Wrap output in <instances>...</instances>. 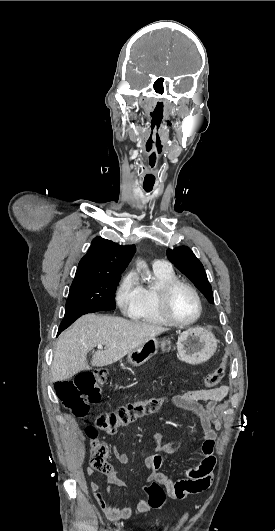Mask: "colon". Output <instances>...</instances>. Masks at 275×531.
Returning a JSON list of instances; mask_svg holds the SVG:
<instances>
[{"label": "colon", "mask_w": 275, "mask_h": 531, "mask_svg": "<svg viewBox=\"0 0 275 531\" xmlns=\"http://www.w3.org/2000/svg\"><path fill=\"white\" fill-rule=\"evenodd\" d=\"M231 356L229 351H226L220 359L218 365L214 370L208 373L203 382L206 388L212 389L219 385L222 381L228 358ZM108 378V371L105 369L99 370H84L79 372L73 381L59 380L54 385L55 395L61 400L62 404L74 416L84 418L87 422L86 433L93 446H97L98 431L93 427V423L89 418L90 404L97 403L100 398L101 386L104 385ZM163 404L160 397H152L144 400H139L119 408L113 412H101L96 415L95 420H99L105 429V434H114L120 427L128 425L133 420L147 414L157 412ZM100 453L94 460V467L98 470L109 468V464L100 458ZM144 488L150 495V499L146 506L150 511H160L164 508L165 503L163 499V490L156 488L152 482L144 485Z\"/></svg>", "instance_id": "1"}]
</instances>
